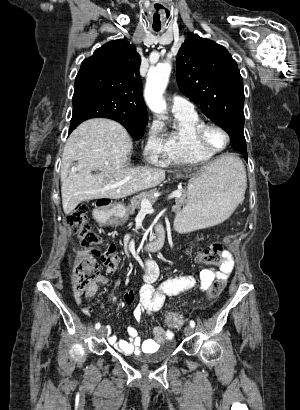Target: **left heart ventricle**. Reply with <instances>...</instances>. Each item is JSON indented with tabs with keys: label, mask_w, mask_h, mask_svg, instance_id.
Segmentation results:
<instances>
[{
	"label": "left heart ventricle",
	"mask_w": 300,
	"mask_h": 410,
	"mask_svg": "<svg viewBox=\"0 0 300 410\" xmlns=\"http://www.w3.org/2000/svg\"><path fill=\"white\" fill-rule=\"evenodd\" d=\"M206 139L208 144L213 148H221L226 143L224 134L216 128L208 129L206 133Z\"/></svg>",
	"instance_id": "left-heart-ventricle-1"
}]
</instances>
